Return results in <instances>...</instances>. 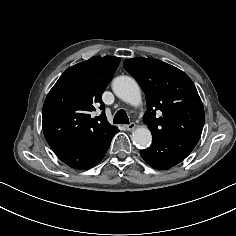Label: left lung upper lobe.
<instances>
[{"label": "left lung upper lobe", "mask_w": 236, "mask_h": 236, "mask_svg": "<svg viewBox=\"0 0 236 236\" xmlns=\"http://www.w3.org/2000/svg\"><path fill=\"white\" fill-rule=\"evenodd\" d=\"M124 68L145 93L147 111L143 122L152 138H200L205 113L197 89L187 74L154 58H132ZM161 111L160 117L156 111Z\"/></svg>", "instance_id": "obj_1"}]
</instances>
